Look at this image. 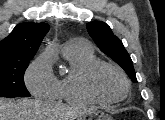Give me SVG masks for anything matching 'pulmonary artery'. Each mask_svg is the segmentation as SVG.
I'll list each match as a JSON object with an SVG mask.
<instances>
[{
    "instance_id": "e3ab8cb5",
    "label": "pulmonary artery",
    "mask_w": 165,
    "mask_h": 120,
    "mask_svg": "<svg viewBox=\"0 0 165 120\" xmlns=\"http://www.w3.org/2000/svg\"><path fill=\"white\" fill-rule=\"evenodd\" d=\"M66 50H89V44L82 39H72L65 44Z\"/></svg>"
}]
</instances>
